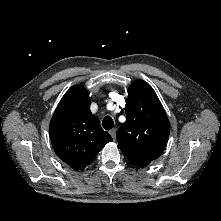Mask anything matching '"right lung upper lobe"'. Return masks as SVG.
Segmentation results:
<instances>
[{"mask_svg":"<svg viewBox=\"0 0 221 221\" xmlns=\"http://www.w3.org/2000/svg\"><path fill=\"white\" fill-rule=\"evenodd\" d=\"M87 89L72 86L61 99L50 123V139L57 156L76 170L84 169L112 141L90 111Z\"/></svg>","mask_w":221,"mask_h":221,"instance_id":"obj_1","label":"right lung upper lobe"}]
</instances>
